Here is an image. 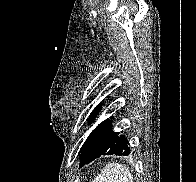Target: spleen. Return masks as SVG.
Segmentation results:
<instances>
[{
  "label": "spleen",
  "mask_w": 196,
  "mask_h": 182,
  "mask_svg": "<svg viewBox=\"0 0 196 182\" xmlns=\"http://www.w3.org/2000/svg\"><path fill=\"white\" fill-rule=\"evenodd\" d=\"M92 182H133V177L125 165L109 163Z\"/></svg>",
  "instance_id": "3e777b00"
}]
</instances>
